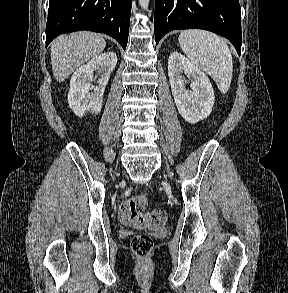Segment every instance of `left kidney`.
<instances>
[{
	"mask_svg": "<svg viewBox=\"0 0 288 293\" xmlns=\"http://www.w3.org/2000/svg\"><path fill=\"white\" fill-rule=\"evenodd\" d=\"M183 72L191 79L192 91L185 88ZM168 76L180 115L191 124L207 118L214 105V91L208 77L178 52L169 56Z\"/></svg>",
	"mask_w": 288,
	"mask_h": 293,
	"instance_id": "5707ae66",
	"label": "left kidney"
}]
</instances>
